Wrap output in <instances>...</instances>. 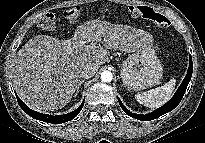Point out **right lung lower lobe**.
<instances>
[{
  "instance_id": "right-lung-lower-lobe-1",
  "label": "right lung lower lobe",
  "mask_w": 205,
  "mask_h": 143,
  "mask_svg": "<svg viewBox=\"0 0 205 143\" xmlns=\"http://www.w3.org/2000/svg\"><path fill=\"white\" fill-rule=\"evenodd\" d=\"M17 97V101L19 106L22 108V110L27 113L29 116H31L34 119L43 121V122H48V123H53V124H59V123H65L67 121L72 120L73 118H75L79 112L82 110L83 106H84V101L82 102V104L74 111L64 114V115H48V114H43V113H39L36 111L31 110L30 108H28L21 100L20 98Z\"/></svg>"
}]
</instances>
